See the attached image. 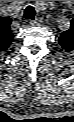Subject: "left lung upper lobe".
<instances>
[{"mask_svg":"<svg viewBox=\"0 0 74 122\" xmlns=\"http://www.w3.org/2000/svg\"><path fill=\"white\" fill-rule=\"evenodd\" d=\"M58 41L65 50H74V19L71 21V27L61 33Z\"/></svg>","mask_w":74,"mask_h":122,"instance_id":"left-lung-upper-lobe-1","label":"left lung upper lobe"}]
</instances>
